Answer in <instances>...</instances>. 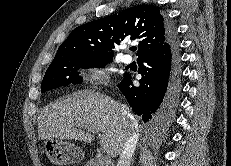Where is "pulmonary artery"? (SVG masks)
Returning <instances> with one entry per match:
<instances>
[{"mask_svg":"<svg viewBox=\"0 0 231 166\" xmlns=\"http://www.w3.org/2000/svg\"><path fill=\"white\" fill-rule=\"evenodd\" d=\"M122 61L125 63V64H130L132 62V57L130 55H124L122 57Z\"/></svg>","mask_w":231,"mask_h":166,"instance_id":"pulmonary-artery-1","label":"pulmonary artery"}]
</instances>
